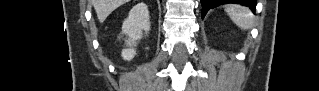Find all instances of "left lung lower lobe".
<instances>
[{
    "label": "left lung lower lobe",
    "mask_w": 319,
    "mask_h": 91,
    "mask_svg": "<svg viewBox=\"0 0 319 91\" xmlns=\"http://www.w3.org/2000/svg\"><path fill=\"white\" fill-rule=\"evenodd\" d=\"M226 3H237L243 4L255 11L256 0H201L202 4V18L206 15L207 11L215 6L226 4Z\"/></svg>",
    "instance_id": "1"
}]
</instances>
